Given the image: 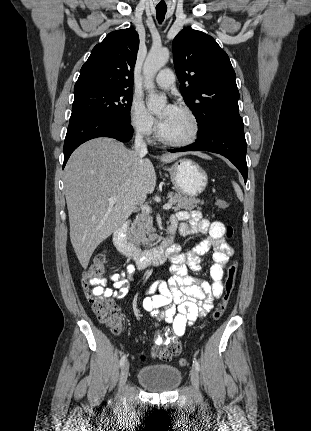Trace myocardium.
<instances>
[{
    "label": "myocardium",
    "mask_w": 311,
    "mask_h": 431,
    "mask_svg": "<svg viewBox=\"0 0 311 431\" xmlns=\"http://www.w3.org/2000/svg\"><path fill=\"white\" fill-rule=\"evenodd\" d=\"M180 110L186 112L194 121L195 124V131L194 134L192 135V137H190L187 140H169L166 139L161 131V125H158V132H157V138L158 140L167 146H171V147H187L190 146L192 144H194L200 137L201 131H202V123L201 120L198 116V114L189 106L187 105H181L179 106Z\"/></svg>",
    "instance_id": "myocardium-1"
}]
</instances>
